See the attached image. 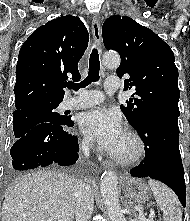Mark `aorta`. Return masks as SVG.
Wrapping results in <instances>:
<instances>
[{
	"mask_svg": "<svg viewBox=\"0 0 190 221\" xmlns=\"http://www.w3.org/2000/svg\"><path fill=\"white\" fill-rule=\"evenodd\" d=\"M106 67L114 68L120 64V57L116 53H107L103 56ZM117 175L114 171H105L101 176L100 191L111 221H126L119 203Z\"/></svg>",
	"mask_w": 190,
	"mask_h": 221,
	"instance_id": "1",
	"label": "aorta"
}]
</instances>
